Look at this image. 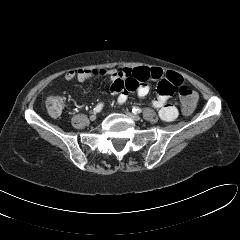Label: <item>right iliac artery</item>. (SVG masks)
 Returning <instances> with one entry per match:
<instances>
[{
  "label": "right iliac artery",
  "instance_id": "1",
  "mask_svg": "<svg viewBox=\"0 0 240 240\" xmlns=\"http://www.w3.org/2000/svg\"><path fill=\"white\" fill-rule=\"evenodd\" d=\"M103 108V104L102 103H99L95 108H94V113H98L102 110Z\"/></svg>",
  "mask_w": 240,
  "mask_h": 240
}]
</instances>
